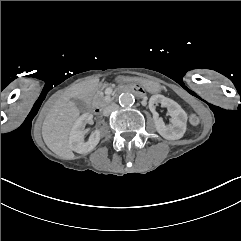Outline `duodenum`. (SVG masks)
Here are the masks:
<instances>
[{"label":"duodenum","mask_w":241,"mask_h":241,"mask_svg":"<svg viewBox=\"0 0 241 241\" xmlns=\"http://www.w3.org/2000/svg\"><path fill=\"white\" fill-rule=\"evenodd\" d=\"M118 93H133L137 96H143V90L137 85H129V86L122 87L121 89H119ZM94 112L96 114H100L101 108L96 107L94 109Z\"/></svg>","instance_id":"410a0bca"}]
</instances>
